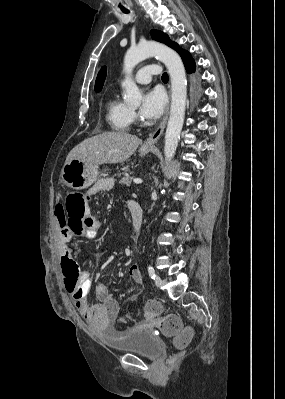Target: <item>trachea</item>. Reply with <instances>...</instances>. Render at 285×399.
Wrapping results in <instances>:
<instances>
[{
    "mask_svg": "<svg viewBox=\"0 0 285 399\" xmlns=\"http://www.w3.org/2000/svg\"><path fill=\"white\" fill-rule=\"evenodd\" d=\"M123 12L126 13V14L129 13L128 10H124ZM162 80L163 81H168V74L167 73H163L162 74Z\"/></svg>",
    "mask_w": 285,
    "mask_h": 399,
    "instance_id": "1",
    "label": "trachea"
}]
</instances>
